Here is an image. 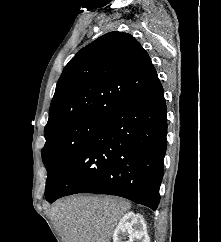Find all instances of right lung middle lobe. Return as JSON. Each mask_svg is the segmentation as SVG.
Instances as JSON below:
<instances>
[{
    "mask_svg": "<svg viewBox=\"0 0 221 242\" xmlns=\"http://www.w3.org/2000/svg\"><path fill=\"white\" fill-rule=\"evenodd\" d=\"M102 122L103 119L99 118H84L59 125L44 133L46 143L41 153L48 173L46 199L70 160Z\"/></svg>",
    "mask_w": 221,
    "mask_h": 242,
    "instance_id": "obj_1",
    "label": "right lung middle lobe"
}]
</instances>
